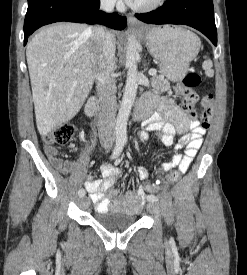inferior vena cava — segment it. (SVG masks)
Segmentation results:
<instances>
[{
	"mask_svg": "<svg viewBox=\"0 0 247 275\" xmlns=\"http://www.w3.org/2000/svg\"><path fill=\"white\" fill-rule=\"evenodd\" d=\"M116 0H101L100 7L112 12ZM91 54L94 78L97 83L100 109L98 115L99 140L104 146H112L115 141L116 83L113 76L115 68V39L104 27L91 29Z\"/></svg>",
	"mask_w": 247,
	"mask_h": 275,
	"instance_id": "obj_1",
	"label": "inferior vena cava"
}]
</instances>
